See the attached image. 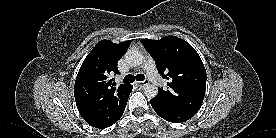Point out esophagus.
Returning a JSON list of instances; mask_svg holds the SVG:
<instances>
[{"label":"esophagus","mask_w":276,"mask_h":138,"mask_svg":"<svg viewBox=\"0 0 276 138\" xmlns=\"http://www.w3.org/2000/svg\"><path fill=\"white\" fill-rule=\"evenodd\" d=\"M148 84H149V82L147 80H144L142 82H137V85L140 86V87H144V86H146Z\"/></svg>","instance_id":"obj_1"}]
</instances>
